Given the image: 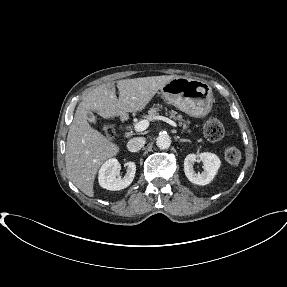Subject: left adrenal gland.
Returning <instances> with one entry per match:
<instances>
[{"label": "left adrenal gland", "instance_id": "left-adrenal-gland-1", "mask_svg": "<svg viewBox=\"0 0 287 287\" xmlns=\"http://www.w3.org/2000/svg\"><path fill=\"white\" fill-rule=\"evenodd\" d=\"M175 140L177 141V140H179L180 142H191L190 140H188V139H180L179 137H175Z\"/></svg>", "mask_w": 287, "mask_h": 287}]
</instances>
